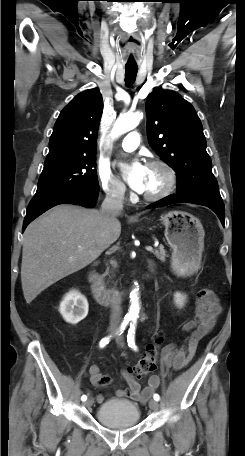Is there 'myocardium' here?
Instances as JSON below:
<instances>
[{
    "label": "myocardium",
    "mask_w": 245,
    "mask_h": 456,
    "mask_svg": "<svg viewBox=\"0 0 245 456\" xmlns=\"http://www.w3.org/2000/svg\"><path fill=\"white\" fill-rule=\"evenodd\" d=\"M147 167H156L163 170L166 176L164 186L155 193H142V197L147 201H159L172 193L177 183V175L171 165L161 159H153L147 163Z\"/></svg>",
    "instance_id": "obj_1"
}]
</instances>
